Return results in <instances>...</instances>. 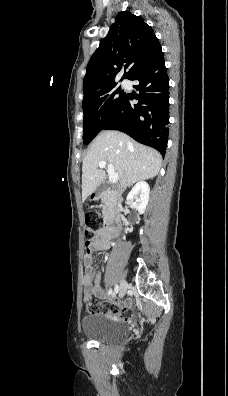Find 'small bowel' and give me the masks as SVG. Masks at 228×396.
<instances>
[{
	"label": "small bowel",
	"instance_id": "1",
	"mask_svg": "<svg viewBox=\"0 0 228 396\" xmlns=\"http://www.w3.org/2000/svg\"><path fill=\"white\" fill-rule=\"evenodd\" d=\"M113 238V233L107 231L106 228H99L94 232L92 238L86 241L84 255L85 274L83 276L85 293H92L99 298H105V293L101 286V274L96 273L93 269V252L108 249ZM120 306L128 308L131 306V301H125Z\"/></svg>",
	"mask_w": 228,
	"mask_h": 396
}]
</instances>
